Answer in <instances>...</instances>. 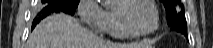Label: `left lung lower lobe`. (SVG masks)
Masks as SVG:
<instances>
[{
	"instance_id": "0a47b994",
	"label": "left lung lower lobe",
	"mask_w": 213,
	"mask_h": 48,
	"mask_svg": "<svg viewBox=\"0 0 213 48\" xmlns=\"http://www.w3.org/2000/svg\"><path fill=\"white\" fill-rule=\"evenodd\" d=\"M173 29L183 33L187 37V29H181L179 27L172 26Z\"/></svg>"
}]
</instances>
